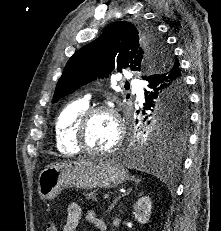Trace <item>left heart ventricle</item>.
Segmentation results:
<instances>
[{
	"label": "left heart ventricle",
	"instance_id": "b2bd125f",
	"mask_svg": "<svg viewBox=\"0 0 221 231\" xmlns=\"http://www.w3.org/2000/svg\"><path fill=\"white\" fill-rule=\"evenodd\" d=\"M118 131L113 118L106 113L96 114L87 128V145L92 150H107L117 140Z\"/></svg>",
	"mask_w": 221,
	"mask_h": 231
}]
</instances>
